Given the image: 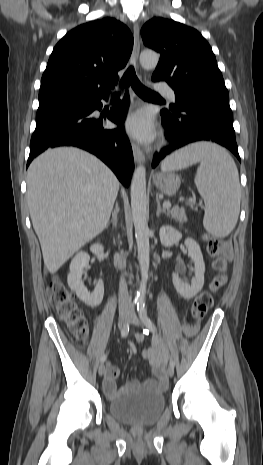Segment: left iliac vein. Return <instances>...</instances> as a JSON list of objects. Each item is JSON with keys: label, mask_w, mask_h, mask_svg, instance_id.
<instances>
[{"label": "left iliac vein", "mask_w": 263, "mask_h": 465, "mask_svg": "<svg viewBox=\"0 0 263 465\" xmlns=\"http://www.w3.org/2000/svg\"><path fill=\"white\" fill-rule=\"evenodd\" d=\"M129 321L136 325V326H139L141 323L139 321V319L137 318L135 312L133 310H130L129 312ZM167 373L170 377H173L174 375V367H172L171 365L168 367L167 369Z\"/></svg>", "instance_id": "obj_1"}]
</instances>
